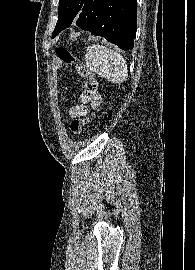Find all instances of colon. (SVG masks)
<instances>
[{
    "label": "colon",
    "mask_w": 195,
    "mask_h": 270,
    "mask_svg": "<svg viewBox=\"0 0 195 270\" xmlns=\"http://www.w3.org/2000/svg\"><path fill=\"white\" fill-rule=\"evenodd\" d=\"M57 59L64 65H73L77 73L86 80V82L96 90L98 88V81L94 74L87 68V66L75 57L67 48L57 47L55 49ZM93 117V113L88 117L76 118L71 123V130L73 133L80 135L84 132L86 125Z\"/></svg>",
    "instance_id": "5ec220e1"
}]
</instances>
